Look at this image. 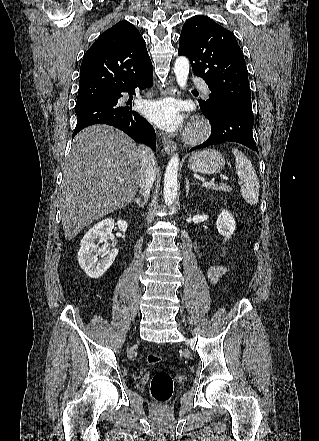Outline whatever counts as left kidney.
Segmentation results:
<instances>
[{
	"label": "left kidney",
	"mask_w": 319,
	"mask_h": 441,
	"mask_svg": "<svg viewBox=\"0 0 319 441\" xmlns=\"http://www.w3.org/2000/svg\"><path fill=\"white\" fill-rule=\"evenodd\" d=\"M216 225L218 232L225 237V241L231 238L236 229V222L232 214L227 210L220 212Z\"/></svg>",
	"instance_id": "left-kidney-1"
}]
</instances>
